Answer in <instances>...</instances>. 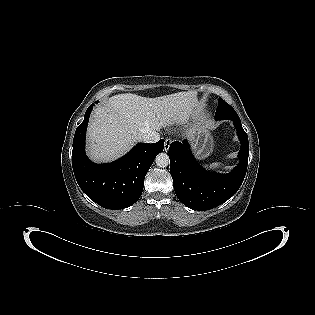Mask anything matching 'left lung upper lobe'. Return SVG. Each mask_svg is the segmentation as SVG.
Here are the masks:
<instances>
[{
    "instance_id": "obj_1",
    "label": "left lung upper lobe",
    "mask_w": 315,
    "mask_h": 315,
    "mask_svg": "<svg viewBox=\"0 0 315 315\" xmlns=\"http://www.w3.org/2000/svg\"><path fill=\"white\" fill-rule=\"evenodd\" d=\"M216 120H236L239 119V116L235 110L226 103L222 98H219L218 107L215 113Z\"/></svg>"
}]
</instances>
